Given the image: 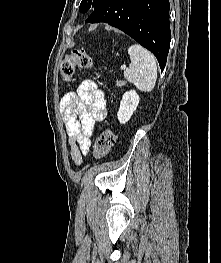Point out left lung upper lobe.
Instances as JSON below:
<instances>
[{"label":"left lung upper lobe","instance_id":"obj_1","mask_svg":"<svg viewBox=\"0 0 221 263\" xmlns=\"http://www.w3.org/2000/svg\"><path fill=\"white\" fill-rule=\"evenodd\" d=\"M104 0H82L79 11L87 12L91 7L97 8Z\"/></svg>","mask_w":221,"mask_h":263}]
</instances>
